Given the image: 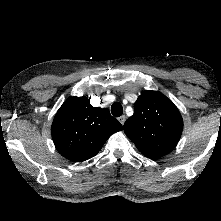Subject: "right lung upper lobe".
I'll list each match as a JSON object with an SVG mask.
<instances>
[{"instance_id":"1","label":"right lung upper lobe","mask_w":221,"mask_h":221,"mask_svg":"<svg viewBox=\"0 0 221 221\" xmlns=\"http://www.w3.org/2000/svg\"><path fill=\"white\" fill-rule=\"evenodd\" d=\"M122 129L108 109L91 106L87 97H73L57 111L51 133L62 156L81 162L95 156L106 140Z\"/></svg>"}]
</instances>
